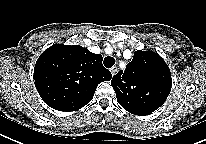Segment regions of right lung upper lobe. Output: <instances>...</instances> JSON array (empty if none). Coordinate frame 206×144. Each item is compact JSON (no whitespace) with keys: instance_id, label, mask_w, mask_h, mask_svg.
<instances>
[{"instance_id":"right-lung-upper-lobe-1","label":"right lung upper lobe","mask_w":206,"mask_h":144,"mask_svg":"<svg viewBox=\"0 0 206 144\" xmlns=\"http://www.w3.org/2000/svg\"><path fill=\"white\" fill-rule=\"evenodd\" d=\"M102 60L100 54L79 45H53L35 64L36 89L44 102L55 110H79L92 100L98 84L112 78Z\"/></svg>"}]
</instances>
